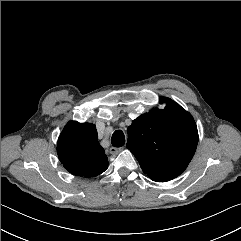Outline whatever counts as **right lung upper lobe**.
Instances as JSON below:
<instances>
[{"label": "right lung upper lobe", "mask_w": 241, "mask_h": 241, "mask_svg": "<svg viewBox=\"0 0 241 241\" xmlns=\"http://www.w3.org/2000/svg\"><path fill=\"white\" fill-rule=\"evenodd\" d=\"M57 154L73 175L95 177L108 167L107 156L98 143L96 126L70 121L59 136Z\"/></svg>", "instance_id": "cb5924a9"}]
</instances>
